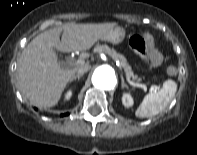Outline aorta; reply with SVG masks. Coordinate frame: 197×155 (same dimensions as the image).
<instances>
[{"instance_id":"762f6f07","label":"aorta","mask_w":197,"mask_h":155,"mask_svg":"<svg viewBox=\"0 0 197 155\" xmlns=\"http://www.w3.org/2000/svg\"><path fill=\"white\" fill-rule=\"evenodd\" d=\"M92 83L99 89H114L117 84V78L114 69L109 65L98 66L93 73Z\"/></svg>"}]
</instances>
